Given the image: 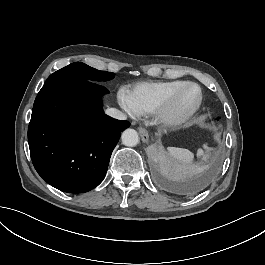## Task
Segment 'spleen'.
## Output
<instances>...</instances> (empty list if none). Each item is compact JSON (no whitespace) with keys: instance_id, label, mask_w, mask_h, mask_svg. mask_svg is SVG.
Segmentation results:
<instances>
[{"instance_id":"obj_1","label":"spleen","mask_w":265,"mask_h":265,"mask_svg":"<svg viewBox=\"0 0 265 265\" xmlns=\"http://www.w3.org/2000/svg\"><path fill=\"white\" fill-rule=\"evenodd\" d=\"M207 149H208V147L204 146V150H207ZM170 152L173 155V157H175L177 159H181L184 162H191L192 161V153L187 149L172 147V148H170ZM198 155H199V157L203 156L204 151L199 150Z\"/></svg>"}]
</instances>
